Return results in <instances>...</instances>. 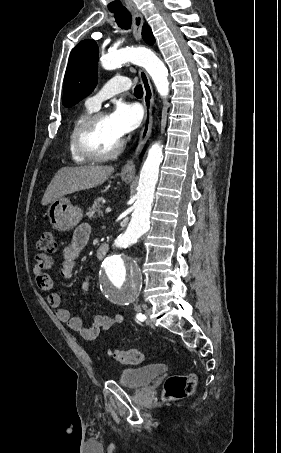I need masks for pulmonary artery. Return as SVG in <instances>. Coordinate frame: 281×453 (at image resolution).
<instances>
[{"label":"pulmonary artery","mask_w":281,"mask_h":453,"mask_svg":"<svg viewBox=\"0 0 281 453\" xmlns=\"http://www.w3.org/2000/svg\"><path fill=\"white\" fill-rule=\"evenodd\" d=\"M128 78L126 77H114L112 79H110L106 84L105 86H113L115 87V89H113L112 91L108 92V93H101V94H98L96 96H94L93 98L90 99L89 101V105L98 110L101 106V103L108 99L109 97L121 92V91H124L128 88Z\"/></svg>","instance_id":"1"}]
</instances>
